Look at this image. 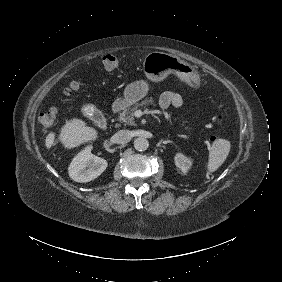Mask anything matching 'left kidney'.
Wrapping results in <instances>:
<instances>
[{"label":"left kidney","mask_w":282,"mask_h":282,"mask_svg":"<svg viewBox=\"0 0 282 282\" xmlns=\"http://www.w3.org/2000/svg\"><path fill=\"white\" fill-rule=\"evenodd\" d=\"M175 165L180 168L183 172H186L191 166V160L184 157L183 155L175 156Z\"/></svg>","instance_id":"left-kidney-1"}]
</instances>
